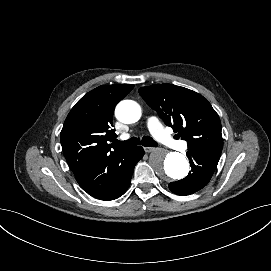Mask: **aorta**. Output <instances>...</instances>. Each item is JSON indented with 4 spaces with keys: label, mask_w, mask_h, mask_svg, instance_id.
Wrapping results in <instances>:
<instances>
[{
    "label": "aorta",
    "mask_w": 271,
    "mask_h": 271,
    "mask_svg": "<svg viewBox=\"0 0 271 271\" xmlns=\"http://www.w3.org/2000/svg\"><path fill=\"white\" fill-rule=\"evenodd\" d=\"M115 115L122 123H135L141 117V108L135 101L124 100L117 105ZM149 163L163 179H182L187 176L190 169L188 160L179 152L156 150L150 154Z\"/></svg>",
    "instance_id": "aorta-1"
}]
</instances>
